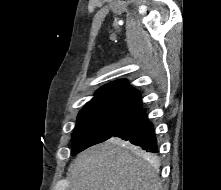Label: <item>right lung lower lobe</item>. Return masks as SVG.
Here are the masks:
<instances>
[{
  "mask_svg": "<svg viewBox=\"0 0 221 190\" xmlns=\"http://www.w3.org/2000/svg\"><path fill=\"white\" fill-rule=\"evenodd\" d=\"M113 137H119L125 141H129L147 152H158L153 123L147 118L145 108L139 109L137 113L113 135Z\"/></svg>",
  "mask_w": 221,
  "mask_h": 190,
  "instance_id": "obj_1",
  "label": "right lung lower lobe"
}]
</instances>
